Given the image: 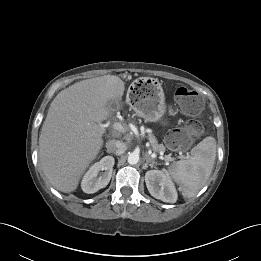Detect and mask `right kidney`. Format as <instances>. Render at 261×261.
Masks as SVG:
<instances>
[{
  "mask_svg": "<svg viewBox=\"0 0 261 261\" xmlns=\"http://www.w3.org/2000/svg\"><path fill=\"white\" fill-rule=\"evenodd\" d=\"M113 166L114 158L112 156H105L92 165L82 179L81 188L83 192L92 194L106 187L111 179ZM103 170L105 171L99 174Z\"/></svg>",
  "mask_w": 261,
  "mask_h": 261,
  "instance_id": "right-kidney-1",
  "label": "right kidney"
}]
</instances>
